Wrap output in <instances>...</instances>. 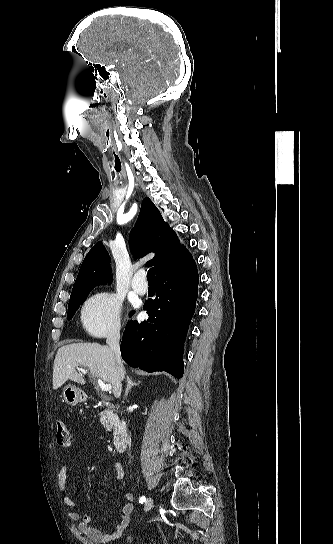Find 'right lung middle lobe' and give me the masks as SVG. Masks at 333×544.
I'll list each match as a JSON object with an SVG mask.
<instances>
[{"instance_id": "obj_1", "label": "right lung middle lobe", "mask_w": 333, "mask_h": 544, "mask_svg": "<svg viewBox=\"0 0 333 544\" xmlns=\"http://www.w3.org/2000/svg\"><path fill=\"white\" fill-rule=\"evenodd\" d=\"M90 291L91 290L70 297L67 319H70L73 317V315L75 314L79 306L86 300Z\"/></svg>"}]
</instances>
